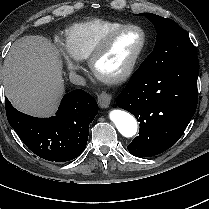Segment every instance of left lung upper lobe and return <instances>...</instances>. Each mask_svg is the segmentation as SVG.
I'll return each mask as SVG.
<instances>
[{"label":"left lung upper lobe","mask_w":209,"mask_h":209,"mask_svg":"<svg viewBox=\"0 0 209 209\" xmlns=\"http://www.w3.org/2000/svg\"><path fill=\"white\" fill-rule=\"evenodd\" d=\"M141 15L153 23L157 38L153 52L143 61L140 68L158 72L197 57L194 45L176 22L152 13Z\"/></svg>","instance_id":"1"}]
</instances>
